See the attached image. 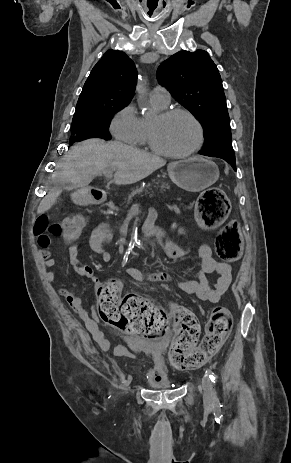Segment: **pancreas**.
<instances>
[{
	"instance_id": "cf45deb5",
	"label": "pancreas",
	"mask_w": 291,
	"mask_h": 463,
	"mask_svg": "<svg viewBox=\"0 0 291 463\" xmlns=\"http://www.w3.org/2000/svg\"><path fill=\"white\" fill-rule=\"evenodd\" d=\"M172 191L171 185L167 182L161 180H153L151 183H148L146 186L138 187L129 195V201L134 197H143L149 195L150 197L155 195L167 196L169 192Z\"/></svg>"
}]
</instances>
